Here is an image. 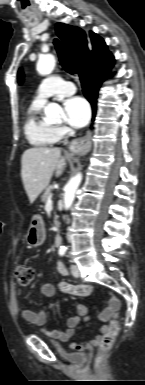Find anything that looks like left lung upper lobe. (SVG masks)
I'll use <instances>...</instances> for the list:
<instances>
[{"instance_id": "left-lung-upper-lobe-1", "label": "left lung upper lobe", "mask_w": 145, "mask_h": 385, "mask_svg": "<svg viewBox=\"0 0 145 385\" xmlns=\"http://www.w3.org/2000/svg\"><path fill=\"white\" fill-rule=\"evenodd\" d=\"M18 81H19V83H22V81H23V72H22V70H19Z\"/></svg>"}]
</instances>
